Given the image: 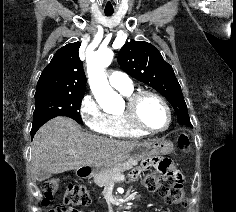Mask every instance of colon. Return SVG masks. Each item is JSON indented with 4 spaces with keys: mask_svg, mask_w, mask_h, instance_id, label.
Returning <instances> with one entry per match:
<instances>
[{
    "mask_svg": "<svg viewBox=\"0 0 236 212\" xmlns=\"http://www.w3.org/2000/svg\"><path fill=\"white\" fill-rule=\"evenodd\" d=\"M180 151L188 153L191 150V141L186 134H181L177 140ZM164 172H159L149 164H145L142 169L133 170L130 174L131 180L142 178L145 187L160 196L167 199L171 204H186L183 185L173 166L163 160L161 162ZM59 182L57 179H45L41 183L43 193V202H49L55 197ZM93 201L91 194L84 185L79 183H70L63 192V204L59 205L49 212H80L79 207L89 205Z\"/></svg>",
    "mask_w": 236,
    "mask_h": 212,
    "instance_id": "1",
    "label": "colon"
}]
</instances>
